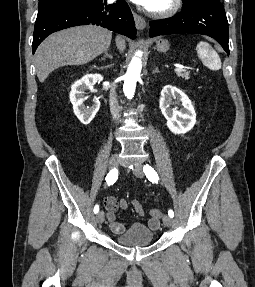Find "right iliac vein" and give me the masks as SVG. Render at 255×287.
I'll return each mask as SVG.
<instances>
[{"label":"right iliac vein","mask_w":255,"mask_h":287,"mask_svg":"<svg viewBox=\"0 0 255 287\" xmlns=\"http://www.w3.org/2000/svg\"><path fill=\"white\" fill-rule=\"evenodd\" d=\"M118 164H119V156L117 153H115L110 157L109 168H111V169L116 168L118 166ZM104 218H105V215H104L103 211H100L97 213L96 221L99 225L103 223Z\"/></svg>","instance_id":"obj_1"}]
</instances>
